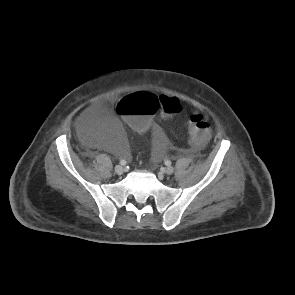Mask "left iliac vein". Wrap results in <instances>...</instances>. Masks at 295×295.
<instances>
[{
  "label": "left iliac vein",
  "mask_w": 295,
  "mask_h": 295,
  "mask_svg": "<svg viewBox=\"0 0 295 295\" xmlns=\"http://www.w3.org/2000/svg\"><path fill=\"white\" fill-rule=\"evenodd\" d=\"M174 172V167L168 166L165 168L164 173L167 175H171Z\"/></svg>",
  "instance_id": "obj_1"
}]
</instances>
